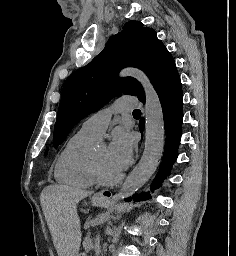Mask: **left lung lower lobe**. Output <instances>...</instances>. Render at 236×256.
<instances>
[{
    "label": "left lung lower lobe",
    "instance_id": "obj_1",
    "mask_svg": "<svg viewBox=\"0 0 236 256\" xmlns=\"http://www.w3.org/2000/svg\"><path fill=\"white\" fill-rule=\"evenodd\" d=\"M155 90L162 106L166 140L160 171L157 173V176L151 185V191L161 186L166 175L170 174L171 167L178 156V146L181 139L183 120V95L181 81L177 70H173L164 77L155 87ZM139 100L145 103V96ZM139 129L141 132L144 130L143 118L140 120ZM132 198L134 201H141L147 200L151 198V196L149 192H143L141 195H133ZM132 198L129 197L125 199V201L129 202Z\"/></svg>",
    "mask_w": 236,
    "mask_h": 256
}]
</instances>
